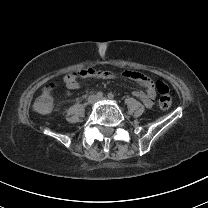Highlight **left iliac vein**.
I'll return each instance as SVG.
<instances>
[{
    "label": "left iliac vein",
    "instance_id": "4c4485c4",
    "mask_svg": "<svg viewBox=\"0 0 208 208\" xmlns=\"http://www.w3.org/2000/svg\"><path fill=\"white\" fill-rule=\"evenodd\" d=\"M98 100L99 101H106V98L105 97H102V98H99Z\"/></svg>",
    "mask_w": 208,
    "mask_h": 208
}]
</instances>
